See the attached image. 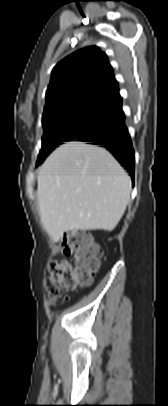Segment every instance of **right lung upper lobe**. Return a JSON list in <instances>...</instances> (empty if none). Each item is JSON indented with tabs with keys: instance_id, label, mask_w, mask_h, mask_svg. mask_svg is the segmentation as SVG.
<instances>
[{
	"instance_id": "right-lung-upper-lobe-1",
	"label": "right lung upper lobe",
	"mask_w": 168,
	"mask_h": 406,
	"mask_svg": "<svg viewBox=\"0 0 168 406\" xmlns=\"http://www.w3.org/2000/svg\"><path fill=\"white\" fill-rule=\"evenodd\" d=\"M119 97L118 84L106 54L96 46L86 47L54 67L43 116L76 104L111 105Z\"/></svg>"
}]
</instances>
